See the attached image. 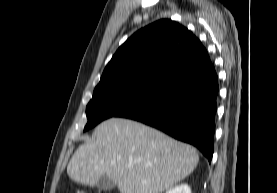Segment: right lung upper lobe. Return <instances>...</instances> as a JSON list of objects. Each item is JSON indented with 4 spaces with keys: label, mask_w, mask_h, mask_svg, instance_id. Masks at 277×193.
Listing matches in <instances>:
<instances>
[{
    "label": "right lung upper lobe",
    "mask_w": 277,
    "mask_h": 193,
    "mask_svg": "<svg viewBox=\"0 0 277 193\" xmlns=\"http://www.w3.org/2000/svg\"><path fill=\"white\" fill-rule=\"evenodd\" d=\"M209 61L192 32L162 19L137 31L117 50L95 90L122 86L156 90Z\"/></svg>",
    "instance_id": "right-lung-upper-lobe-1"
}]
</instances>
